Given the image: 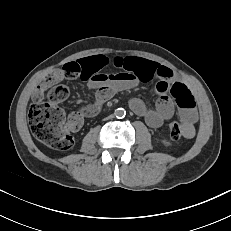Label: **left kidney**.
<instances>
[{
    "mask_svg": "<svg viewBox=\"0 0 231 231\" xmlns=\"http://www.w3.org/2000/svg\"><path fill=\"white\" fill-rule=\"evenodd\" d=\"M162 143L165 145V146H170L171 144H170V142L169 141H167V140H162Z\"/></svg>",
    "mask_w": 231,
    "mask_h": 231,
    "instance_id": "5707ae66",
    "label": "left kidney"
}]
</instances>
